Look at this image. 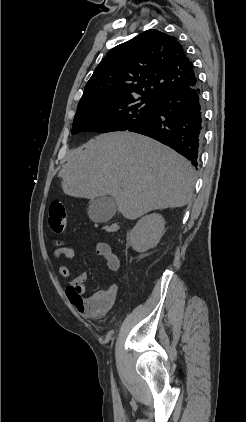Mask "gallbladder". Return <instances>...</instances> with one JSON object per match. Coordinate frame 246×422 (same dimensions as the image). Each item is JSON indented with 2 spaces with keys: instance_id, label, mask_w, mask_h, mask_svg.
I'll return each mask as SVG.
<instances>
[{
  "instance_id": "obj_1",
  "label": "gallbladder",
  "mask_w": 246,
  "mask_h": 422,
  "mask_svg": "<svg viewBox=\"0 0 246 422\" xmlns=\"http://www.w3.org/2000/svg\"><path fill=\"white\" fill-rule=\"evenodd\" d=\"M116 211L117 205L112 197L100 196L90 201L88 216L96 223H106L115 215Z\"/></svg>"
}]
</instances>
